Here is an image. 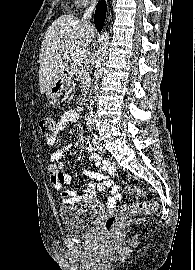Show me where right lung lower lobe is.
<instances>
[{"label": "right lung lower lobe", "mask_w": 195, "mask_h": 270, "mask_svg": "<svg viewBox=\"0 0 195 270\" xmlns=\"http://www.w3.org/2000/svg\"><path fill=\"white\" fill-rule=\"evenodd\" d=\"M106 17V3L104 0L99 1L94 15V24L98 31H101Z\"/></svg>", "instance_id": "1"}]
</instances>
